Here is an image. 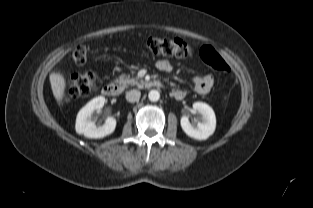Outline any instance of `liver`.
<instances>
[{
	"label": "liver",
	"instance_id": "obj_1",
	"mask_svg": "<svg viewBox=\"0 0 313 208\" xmlns=\"http://www.w3.org/2000/svg\"><path fill=\"white\" fill-rule=\"evenodd\" d=\"M51 89L55 99L61 102L65 95L66 81L62 74L52 72L49 76Z\"/></svg>",
	"mask_w": 313,
	"mask_h": 208
}]
</instances>
